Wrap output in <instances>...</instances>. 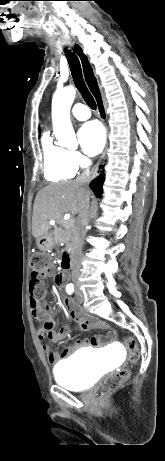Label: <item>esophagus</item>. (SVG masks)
Masks as SVG:
<instances>
[{
  "mask_svg": "<svg viewBox=\"0 0 165 461\" xmlns=\"http://www.w3.org/2000/svg\"><path fill=\"white\" fill-rule=\"evenodd\" d=\"M77 51H78L79 54H80V49H79V48H77ZM80 60H81L82 68H83V70H84V58H83V56H82L81 54H80ZM101 97H102V99H103L102 94H101ZM96 102H97V100H96ZM97 109H98V112H99V115H100L101 119H102L103 121H105V120H106V113H105V110H104V104H103V102H102V103H101L100 101L97 102ZM107 148H108V144L106 145V147H105V149H104V151H103V153H102L101 162H103L104 159H105V157H106ZM98 170H99V166H96L95 168H93V170H92V172H91V176H92V177L97 176V175H98Z\"/></svg>",
  "mask_w": 165,
  "mask_h": 461,
  "instance_id": "esophagus-1",
  "label": "esophagus"
}]
</instances>
